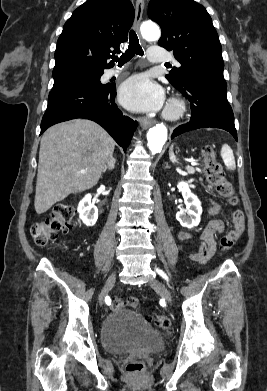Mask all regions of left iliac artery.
<instances>
[{
    "label": "left iliac artery",
    "mask_w": 267,
    "mask_h": 391,
    "mask_svg": "<svg viewBox=\"0 0 267 391\" xmlns=\"http://www.w3.org/2000/svg\"><path fill=\"white\" fill-rule=\"evenodd\" d=\"M157 272H158L163 278L168 279L167 276H166V274H165L162 270L157 269Z\"/></svg>",
    "instance_id": "44dca946"
}]
</instances>
